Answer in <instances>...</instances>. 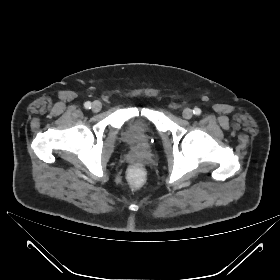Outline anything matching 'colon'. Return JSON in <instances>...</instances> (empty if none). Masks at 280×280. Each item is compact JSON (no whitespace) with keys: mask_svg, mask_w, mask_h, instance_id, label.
<instances>
[{"mask_svg":"<svg viewBox=\"0 0 280 280\" xmlns=\"http://www.w3.org/2000/svg\"><path fill=\"white\" fill-rule=\"evenodd\" d=\"M143 181H144L143 170L138 166H133L130 169V175L128 178L129 185L132 188H138L142 185Z\"/></svg>","mask_w":280,"mask_h":280,"instance_id":"obj_1","label":"colon"}]
</instances>
